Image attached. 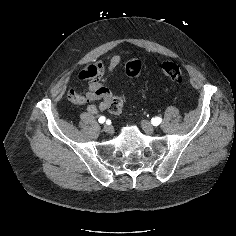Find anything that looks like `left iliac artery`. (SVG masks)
<instances>
[{"label": "left iliac artery", "instance_id": "left-iliac-artery-1", "mask_svg": "<svg viewBox=\"0 0 236 236\" xmlns=\"http://www.w3.org/2000/svg\"><path fill=\"white\" fill-rule=\"evenodd\" d=\"M161 122H162V118H160V117H155V118H152V119H151V123H152L154 126L159 125Z\"/></svg>", "mask_w": 236, "mask_h": 236}]
</instances>
